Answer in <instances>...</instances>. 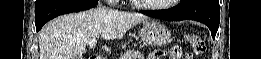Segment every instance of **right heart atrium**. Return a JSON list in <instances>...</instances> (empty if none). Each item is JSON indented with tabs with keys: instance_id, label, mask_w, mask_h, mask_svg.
I'll return each instance as SVG.
<instances>
[{
	"instance_id": "right-heart-atrium-1",
	"label": "right heart atrium",
	"mask_w": 261,
	"mask_h": 59,
	"mask_svg": "<svg viewBox=\"0 0 261 59\" xmlns=\"http://www.w3.org/2000/svg\"><path fill=\"white\" fill-rule=\"evenodd\" d=\"M108 2L111 4H114V3L118 2V0H108Z\"/></svg>"
}]
</instances>
